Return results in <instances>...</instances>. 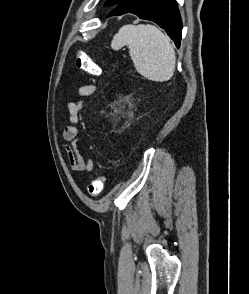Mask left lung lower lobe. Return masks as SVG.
Listing matches in <instances>:
<instances>
[{
    "instance_id": "obj_1",
    "label": "left lung lower lobe",
    "mask_w": 249,
    "mask_h": 294,
    "mask_svg": "<svg viewBox=\"0 0 249 294\" xmlns=\"http://www.w3.org/2000/svg\"><path fill=\"white\" fill-rule=\"evenodd\" d=\"M134 13L141 19L155 22L163 28L179 48L182 22L176 0H124L108 17Z\"/></svg>"
}]
</instances>
